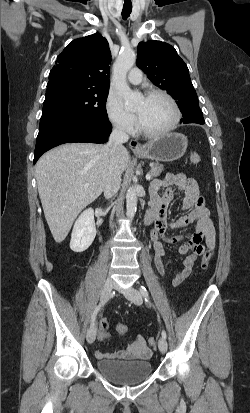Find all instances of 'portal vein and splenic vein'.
Returning a JSON list of instances; mask_svg holds the SVG:
<instances>
[{
    "label": "portal vein and splenic vein",
    "instance_id": "18ae733b",
    "mask_svg": "<svg viewBox=\"0 0 250 413\" xmlns=\"http://www.w3.org/2000/svg\"><path fill=\"white\" fill-rule=\"evenodd\" d=\"M150 179H151V175L148 173V174L146 175V180H147V181H150ZM88 186H89L88 183L85 184V187H88Z\"/></svg>",
    "mask_w": 250,
    "mask_h": 413
}]
</instances>
